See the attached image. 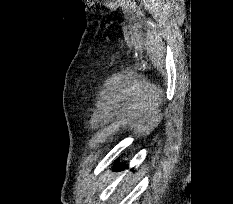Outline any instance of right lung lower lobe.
Here are the masks:
<instances>
[{
  "mask_svg": "<svg viewBox=\"0 0 233 204\" xmlns=\"http://www.w3.org/2000/svg\"><path fill=\"white\" fill-rule=\"evenodd\" d=\"M124 167H125L124 164H119V165L116 166V168H117L118 170L121 169V168H124Z\"/></svg>",
  "mask_w": 233,
  "mask_h": 204,
  "instance_id": "1",
  "label": "right lung lower lobe"
}]
</instances>
